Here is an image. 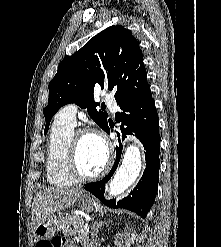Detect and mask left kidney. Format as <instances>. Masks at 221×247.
<instances>
[{"mask_svg": "<svg viewBox=\"0 0 221 247\" xmlns=\"http://www.w3.org/2000/svg\"><path fill=\"white\" fill-rule=\"evenodd\" d=\"M136 232H126L121 238L116 239L115 243L117 247H131V244L134 243L136 239Z\"/></svg>", "mask_w": 221, "mask_h": 247, "instance_id": "5707ae66", "label": "left kidney"}]
</instances>
